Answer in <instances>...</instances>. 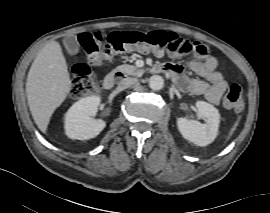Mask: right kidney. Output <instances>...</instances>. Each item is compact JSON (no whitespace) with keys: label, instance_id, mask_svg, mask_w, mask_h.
I'll use <instances>...</instances> for the list:
<instances>
[{"label":"right kidney","instance_id":"obj_1","mask_svg":"<svg viewBox=\"0 0 270 213\" xmlns=\"http://www.w3.org/2000/svg\"><path fill=\"white\" fill-rule=\"evenodd\" d=\"M99 96H89L74 103L65 114V134L70 139L88 140L96 137L105 128L103 120H95L100 104Z\"/></svg>","mask_w":270,"mask_h":213}]
</instances>
